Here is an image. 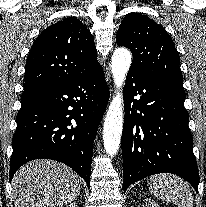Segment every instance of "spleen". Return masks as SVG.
I'll return each instance as SVG.
<instances>
[{
    "label": "spleen",
    "instance_id": "obj_1",
    "mask_svg": "<svg viewBox=\"0 0 206 207\" xmlns=\"http://www.w3.org/2000/svg\"><path fill=\"white\" fill-rule=\"evenodd\" d=\"M148 184L155 197L178 207H193L192 192L181 178L170 174H159L150 177Z\"/></svg>",
    "mask_w": 206,
    "mask_h": 207
}]
</instances>
